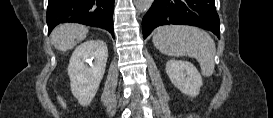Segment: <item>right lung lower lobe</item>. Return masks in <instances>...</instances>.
<instances>
[{
	"mask_svg": "<svg viewBox=\"0 0 273 118\" xmlns=\"http://www.w3.org/2000/svg\"><path fill=\"white\" fill-rule=\"evenodd\" d=\"M113 10L114 0H48V34L66 22L100 27L113 34Z\"/></svg>",
	"mask_w": 273,
	"mask_h": 118,
	"instance_id": "98d812e1",
	"label": "right lung lower lobe"
}]
</instances>
